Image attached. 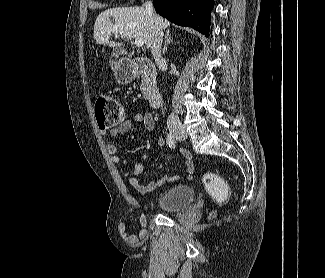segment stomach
<instances>
[{"label":"stomach","instance_id":"stomach-1","mask_svg":"<svg viewBox=\"0 0 325 278\" xmlns=\"http://www.w3.org/2000/svg\"><path fill=\"white\" fill-rule=\"evenodd\" d=\"M136 72L131 65L118 63L115 70L116 80L121 84H126L135 79Z\"/></svg>","mask_w":325,"mask_h":278}]
</instances>
